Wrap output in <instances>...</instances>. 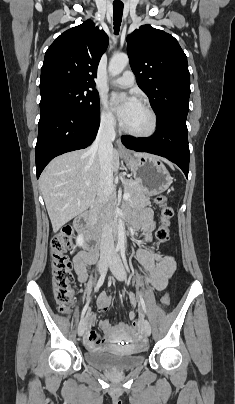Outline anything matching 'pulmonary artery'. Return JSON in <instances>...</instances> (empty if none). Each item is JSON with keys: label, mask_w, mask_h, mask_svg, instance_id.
<instances>
[{"label": "pulmonary artery", "mask_w": 235, "mask_h": 404, "mask_svg": "<svg viewBox=\"0 0 235 404\" xmlns=\"http://www.w3.org/2000/svg\"><path fill=\"white\" fill-rule=\"evenodd\" d=\"M135 76L131 71H125L120 77L116 78L113 82L117 86L127 88L134 84Z\"/></svg>", "instance_id": "obj_1"}]
</instances>
